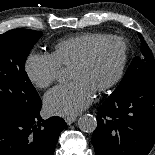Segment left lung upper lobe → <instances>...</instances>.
Instances as JSON below:
<instances>
[{"label":"left lung upper lobe","mask_w":155,"mask_h":155,"mask_svg":"<svg viewBox=\"0 0 155 155\" xmlns=\"http://www.w3.org/2000/svg\"><path fill=\"white\" fill-rule=\"evenodd\" d=\"M141 41L140 55L131 62L124 79L115 92L124 91L130 87L147 82L155 78V60L152 51L145 42L143 36L138 34Z\"/></svg>","instance_id":"left-lung-upper-lobe-1"}]
</instances>
